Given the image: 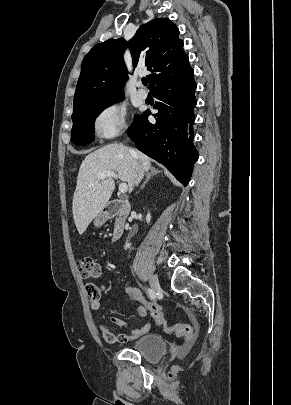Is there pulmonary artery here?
Returning a JSON list of instances; mask_svg holds the SVG:
<instances>
[{"mask_svg": "<svg viewBox=\"0 0 291 405\" xmlns=\"http://www.w3.org/2000/svg\"><path fill=\"white\" fill-rule=\"evenodd\" d=\"M137 95L140 99H143V100L146 99L148 96L147 91L144 88H142L141 84H139V89L137 91Z\"/></svg>", "mask_w": 291, "mask_h": 405, "instance_id": "pulmonary-artery-1", "label": "pulmonary artery"}]
</instances>
